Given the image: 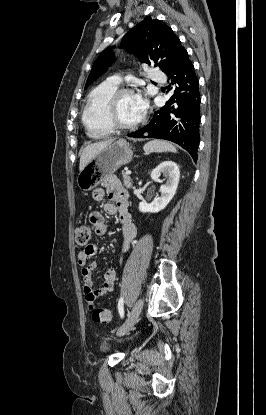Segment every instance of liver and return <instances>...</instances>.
<instances>
[{
	"instance_id": "6515ba94",
	"label": "liver",
	"mask_w": 266,
	"mask_h": 415,
	"mask_svg": "<svg viewBox=\"0 0 266 415\" xmlns=\"http://www.w3.org/2000/svg\"><path fill=\"white\" fill-rule=\"evenodd\" d=\"M114 140L100 141L86 146L80 157L79 170L81 171L102 149L113 143Z\"/></svg>"
}]
</instances>
